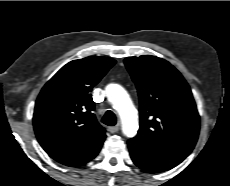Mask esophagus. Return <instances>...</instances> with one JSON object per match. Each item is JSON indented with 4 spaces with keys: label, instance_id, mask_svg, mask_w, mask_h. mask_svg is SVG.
Instances as JSON below:
<instances>
[{
    "label": "esophagus",
    "instance_id": "34e87169",
    "mask_svg": "<svg viewBox=\"0 0 230 186\" xmlns=\"http://www.w3.org/2000/svg\"><path fill=\"white\" fill-rule=\"evenodd\" d=\"M119 129H120V125L119 124H117L116 126H112V127L108 128V130H109L110 133H116V132L119 131Z\"/></svg>",
    "mask_w": 230,
    "mask_h": 186
}]
</instances>
